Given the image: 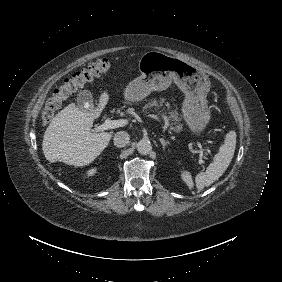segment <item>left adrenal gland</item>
<instances>
[{"label": "left adrenal gland", "mask_w": 282, "mask_h": 282, "mask_svg": "<svg viewBox=\"0 0 282 282\" xmlns=\"http://www.w3.org/2000/svg\"><path fill=\"white\" fill-rule=\"evenodd\" d=\"M159 140H160V142H161V144H162V146H163V149L165 150V147H166V145H167L169 142L166 141L164 138H160Z\"/></svg>", "instance_id": "1"}]
</instances>
